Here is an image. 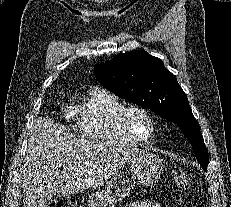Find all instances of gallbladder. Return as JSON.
Wrapping results in <instances>:
<instances>
[{
	"label": "gallbladder",
	"mask_w": 231,
	"mask_h": 207,
	"mask_svg": "<svg viewBox=\"0 0 231 207\" xmlns=\"http://www.w3.org/2000/svg\"><path fill=\"white\" fill-rule=\"evenodd\" d=\"M58 199H59V196L54 193V194H51V195H49V196L46 197L45 203L48 206V205H50L52 203H57Z\"/></svg>",
	"instance_id": "bac80fb5"
}]
</instances>
